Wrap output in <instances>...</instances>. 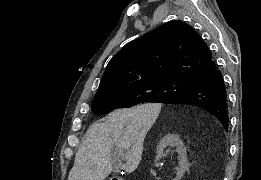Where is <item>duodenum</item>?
Masks as SVG:
<instances>
[{
	"mask_svg": "<svg viewBox=\"0 0 261 180\" xmlns=\"http://www.w3.org/2000/svg\"><path fill=\"white\" fill-rule=\"evenodd\" d=\"M111 180H122L121 177H112Z\"/></svg>",
	"mask_w": 261,
	"mask_h": 180,
	"instance_id": "410a0bca",
	"label": "duodenum"
}]
</instances>
